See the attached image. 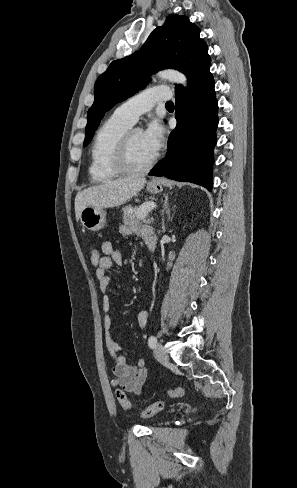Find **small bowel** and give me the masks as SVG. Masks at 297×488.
<instances>
[{"mask_svg":"<svg viewBox=\"0 0 297 488\" xmlns=\"http://www.w3.org/2000/svg\"><path fill=\"white\" fill-rule=\"evenodd\" d=\"M119 233L123 237L136 235L145 243L149 250L150 248H153L154 251L156 249V235L148 227L122 225L119 227ZM101 251L103 255L101 256L99 266L96 270V279L102 293L105 344L114 363V379L111 384L113 387H119L128 393L138 395L141 393L147 379L146 363L144 359L140 358L134 364H130L127 360L128 352L126 346L114 340L111 330V301L107 294L111 282V277L108 271L114 265H121L123 257L110 241L102 242ZM147 321L148 312L146 310L139 312V325L145 327Z\"/></svg>","mask_w":297,"mask_h":488,"instance_id":"1","label":"small bowel"}]
</instances>
